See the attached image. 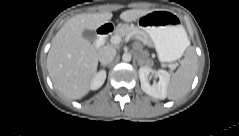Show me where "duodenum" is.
Listing matches in <instances>:
<instances>
[{
  "mask_svg": "<svg viewBox=\"0 0 239 136\" xmlns=\"http://www.w3.org/2000/svg\"><path fill=\"white\" fill-rule=\"evenodd\" d=\"M115 27L112 23H107L100 26L97 29V37L95 39V46L98 47L104 43L107 36L110 35L114 31Z\"/></svg>",
  "mask_w": 239,
  "mask_h": 136,
  "instance_id": "duodenum-1",
  "label": "duodenum"
}]
</instances>
